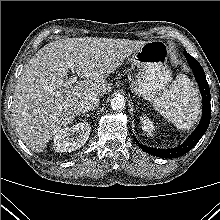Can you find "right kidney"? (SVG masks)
<instances>
[{
	"label": "right kidney",
	"instance_id": "right-kidney-1",
	"mask_svg": "<svg viewBox=\"0 0 220 220\" xmlns=\"http://www.w3.org/2000/svg\"><path fill=\"white\" fill-rule=\"evenodd\" d=\"M91 126L81 122L59 130L53 139V147L57 152H71L84 146L89 138ZM77 134L74 136V134Z\"/></svg>",
	"mask_w": 220,
	"mask_h": 220
}]
</instances>
